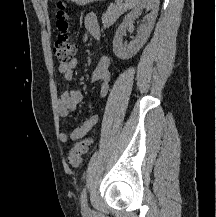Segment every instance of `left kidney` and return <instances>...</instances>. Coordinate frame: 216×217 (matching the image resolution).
Here are the masks:
<instances>
[{"instance_id": "5707ae66", "label": "left kidney", "mask_w": 216, "mask_h": 217, "mask_svg": "<svg viewBox=\"0 0 216 217\" xmlns=\"http://www.w3.org/2000/svg\"><path fill=\"white\" fill-rule=\"evenodd\" d=\"M159 3V0H141L134 10L125 17L123 23L118 27L113 39V52L118 58L123 60L129 59L143 47L153 29L159 9ZM144 8L151 12L145 23L139 27L136 39L129 44L123 43L122 38L126 33L127 25H130Z\"/></svg>"}]
</instances>
